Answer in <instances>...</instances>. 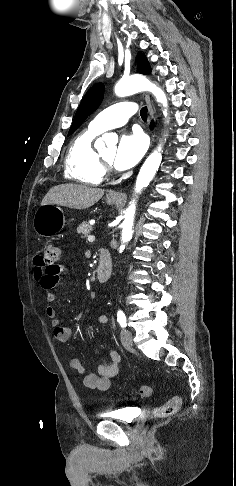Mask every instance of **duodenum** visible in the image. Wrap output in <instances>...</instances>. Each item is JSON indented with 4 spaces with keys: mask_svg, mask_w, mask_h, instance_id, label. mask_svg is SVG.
<instances>
[{
    "mask_svg": "<svg viewBox=\"0 0 236 486\" xmlns=\"http://www.w3.org/2000/svg\"><path fill=\"white\" fill-rule=\"evenodd\" d=\"M112 273V261L108 250L102 249L96 268V276L100 283L108 281Z\"/></svg>",
    "mask_w": 236,
    "mask_h": 486,
    "instance_id": "410a0bca",
    "label": "duodenum"
}]
</instances>
